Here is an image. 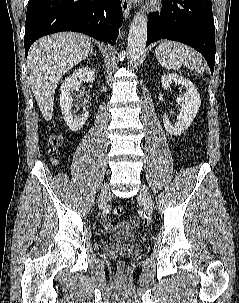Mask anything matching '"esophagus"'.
Here are the masks:
<instances>
[{"label":"esophagus","mask_w":239,"mask_h":303,"mask_svg":"<svg viewBox=\"0 0 239 303\" xmlns=\"http://www.w3.org/2000/svg\"><path fill=\"white\" fill-rule=\"evenodd\" d=\"M121 6L123 15L125 18H129L130 16V9H131V3L129 0H121Z\"/></svg>","instance_id":"34e87169"}]
</instances>
